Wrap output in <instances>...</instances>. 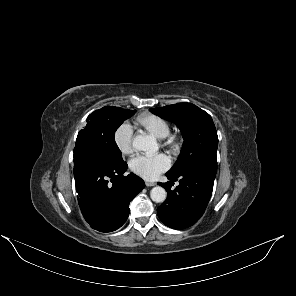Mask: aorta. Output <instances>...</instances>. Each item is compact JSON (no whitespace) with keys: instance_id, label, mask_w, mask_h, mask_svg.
<instances>
[{"instance_id":"1","label":"aorta","mask_w":296,"mask_h":296,"mask_svg":"<svg viewBox=\"0 0 296 296\" xmlns=\"http://www.w3.org/2000/svg\"><path fill=\"white\" fill-rule=\"evenodd\" d=\"M133 147L139 151L145 152H156L158 145L155 139L151 135L141 134L135 136L132 143ZM167 196L166 190L161 186H156L150 191V197L152 201L156 203H162L165 201Z\"/></svg>"}]
</instances>
